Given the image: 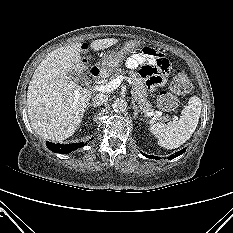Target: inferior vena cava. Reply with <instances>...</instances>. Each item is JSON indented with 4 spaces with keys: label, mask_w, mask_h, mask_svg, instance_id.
Returning a JSON list of instances; mask_svg holds the SVG:
<instances>
[{
    "label": "inferior vena cava",
    "mask_w": 233,
    "mask_h": 233,
    "mask_svg": "<svg viewBox=\"0 0 233 233\" xmlns=\"http://www.w3.org/2000/svg\"><path fill=\"white\" fill-rule=\"evenodd\" d=\"M107 100H108V96L103 93L96 94L92 98L93 103L96 105H103L104 103L107 102Z\"/></svg>",
    "instance_id": "1"
}]
</instances>
